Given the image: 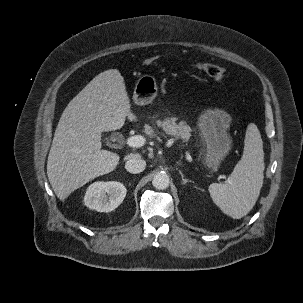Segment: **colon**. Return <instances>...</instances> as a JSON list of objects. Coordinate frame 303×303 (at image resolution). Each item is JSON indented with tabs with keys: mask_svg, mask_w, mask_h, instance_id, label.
<instances>
[{
	"mask_svg": "<svg viewBox=\"0 0 303 303\" xmlns=\"http://www.w3.org/2000/svg\"><path fill=\"white\" fill-rule=\"evenodd\" d=\"M155 61H156V57L148 58L144 61V65L146 66L153 65ZM197 69L218 82H223L226 78L225 70L215 64L198 63Z\"/></svg>",
	"mask_w": 303,
	"mask_h": 303,
	"instance_id": "5ec220e1",
	"label": "colon"
}]
</instances>
